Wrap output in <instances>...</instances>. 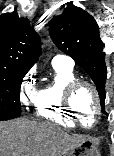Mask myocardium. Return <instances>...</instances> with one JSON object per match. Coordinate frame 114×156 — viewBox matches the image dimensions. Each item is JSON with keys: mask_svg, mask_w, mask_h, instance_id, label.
I'll list each match as a JSON object with an SVG mask.
<instances>
[{"mask_svg": "<svg viewBox=\"0 0 114 156\" xmlns=\"http://www.w3.org/2000/svg\"><path fill=\"white\" fill-rule=\"evenodd\" d=\"M82 87L88 88L92 92V94L94 96V100H95V105H96L95 117H94L93 124L90 126H87L82 122L78 112L76 111V109L74 107V97H75L77 91L79 89H81ZM64 105H65L67 112L72 117V119L79 126H81L83 128H87V129L94 127L98 123L99 117L102 112L101 99H100V95H99V92H98L96 86L93 83H91L90 81L82 80V79H77L67 86L66 91H65V96H64Z\"/></svg>", "mask_w": 114, "mask_h": 156, "instance_id": "myocardium-1", "label": "myocardium"}]
</instances>
